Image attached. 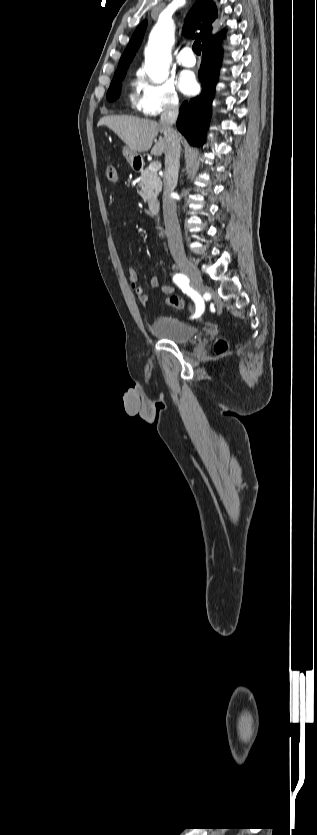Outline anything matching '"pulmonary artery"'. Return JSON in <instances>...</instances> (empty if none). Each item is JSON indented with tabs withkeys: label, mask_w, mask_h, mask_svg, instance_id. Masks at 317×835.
Here are the masks:
<instances>
[{
	"label": "pulmonary artery",
	"mask_w": 317,
	"mask_h": 835,
	"mask_svg": "<svg viewBox=\"0 0 317 835\" xmlns=\"http://www.w3.org/2000/svg\"><path fill=\"white\" fill-rule=\"evenodd\" d=\"M178 58L182 66L193 67L196 64V59L193 54L192 48L189 46L184 47L180 51Z\"/></svg>",
	"instance_id": "pulmonary-artery-1"
}]
</instances>
